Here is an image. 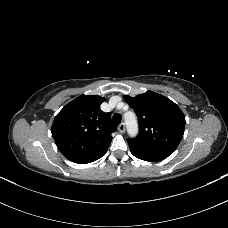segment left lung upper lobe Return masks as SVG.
I'll return each mask as SVG.
<instances>
[{"label": "left lung upper lobe", "instance_id": "left-lung-upper-lobe-1", "mask_svg": "<svg viewBox=\"0 0 228 228\" xmlns=\"http://www.w3.org/2000/svg\"><path fill=\"white\" fill-rule=\"evenodd\" d=\"M138 116L139 134L128 144L146 150L172 154L180 143L185 127V116L170 99L147 91L136 97L124 96Z\"/></svg>", "mask_w": 228, "mask_h": 228}]
</instances>
